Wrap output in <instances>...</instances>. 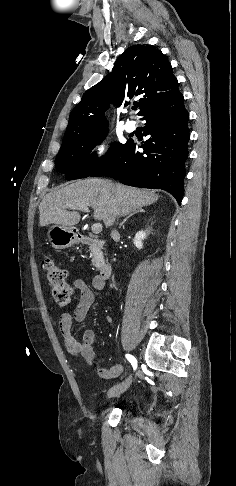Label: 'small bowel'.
I'll list each match as a JSON object with an SVG mask.
<instances>
[{
  "label": "small bowel",
  "instance_id": "1",
  "mask_svg": "<svg viewBox=\"0 0 236 486\" xmlns=\"http://www.w3.org/2000/svg\"><path fill=\"white\" fill-rule=\"evenodd\" d=\"M95 290H101L104 283L100 282L98 277L93 279ZM72 289L80 293L79 302L73 311V314L63 312L59 316V329L64 340L67 351L74 356H81L89 365L98 363L97 353L94 348L96 334L93 329L83 331L82 339H78L73 332V322L81 323L85 320L86 315L92 306L95 296L91 288L82 279H75ZM123 366L115 364L110 368H98V375L102 379H113L121 375Z\"/></svg>",
  "mask_w": 236,
  "mask_h": 486
}]
</instances>
